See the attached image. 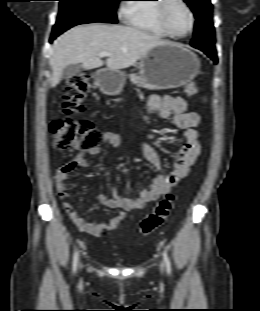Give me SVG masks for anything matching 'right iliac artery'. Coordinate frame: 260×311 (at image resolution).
<instances>
[{
  "label": "right iliac artery",
  "mask_w": 260,
  "mask_h": 311,
  "mask_svg": "<svg viewBox=\"0 0 260 311\" xmlns=\"http://www.w3.org/2000/svg\"><path fill=\"white\" fill-rule=\"evenodd\" d=\"M78 259H79V251H76L75 254H74L73 263H72V267H73V272L74 273L77 270Z\"/></svg>",
  "instance_id": "right-iliac-artery-1"
}]
</instances>
